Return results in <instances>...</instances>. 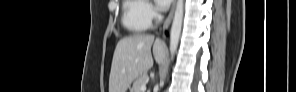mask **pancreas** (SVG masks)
<instances>
[{
	"label": "pancreas",
	"mask_w": 296,
	"mask_h": 92,
	"mask_svg": "<svg viewBox=\"0 0 296 92\" xmlns=\"http://www.w3.org/2000/svg\"><path fill=\"white\" fill-rule=\"evenodd\" d=\"M148 80L147 75H141L139 76L133 83V86L130 90V92H141V86L145 85L146 81Z\"/></svg>",
	"instance_id": "obj_1"
}]
</instances>
